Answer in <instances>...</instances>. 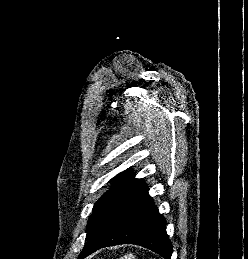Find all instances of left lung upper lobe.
I'll return each mask as SVG.
<instances>
[{
    "instance_id": "left-lung-upper-lobe-1",
    "label": "left lung upper lobe",
    "mask_w": 248,
    "mask_h": 259,
    "mask_svg": "<svg viewBox=\"0 0 248 259\" xmlns=\"http://www.w3.org/2000/svg\"><path fill=\"white\" fill-rule=\"evenodd\" d=\"M116 177H119L116 183L94 205L88 221L86 239L129 204L148 194L144 182L141 179H135L130 169Z\"/></svg>"
}]
</instances>
